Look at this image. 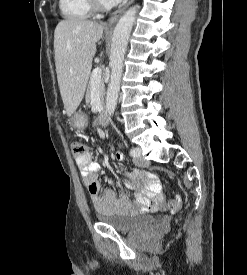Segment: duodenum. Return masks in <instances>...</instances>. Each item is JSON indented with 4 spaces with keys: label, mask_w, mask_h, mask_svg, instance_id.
<instances>
[{
    "label": "duodenum",
    "mask_w": 247,
    "mask_h": 275,
    "mask_svg": "<svg viewBox=\"0 0 247 275\" xmlns=\"http://www.w3.org/2000/svg\"><path fill=\"white\" fill-rule=\"evenodd\" d=\"M108 124V115L105 110L98 114V125L105 127Z\"/></svg>",
    "instance_id": "duodenum-1"
}]
</instances>
